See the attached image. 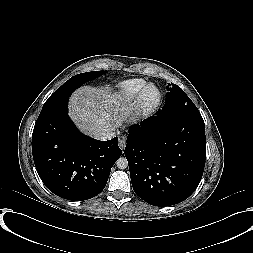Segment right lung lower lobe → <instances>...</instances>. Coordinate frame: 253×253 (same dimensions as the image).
Here are the masks:
<instances>
[{"label": "right lung lower lobe", "mask_w": 253, "mask_h": 253, "mask_svg": "<svg viewBox=\"0 0 253 253\" xmlns=\"http://www.w3.org/2000/svg\"><path fill=\"white\" fill-rule=\"evenodd\" d=\"M117 141V137L99 141L80 133L68 116L67 100L41 110L32 134L33 159L51 192L83 201L104 189L122 154Z\"/></svg>", "instance_id": "98d812e1"}]
</instances>
